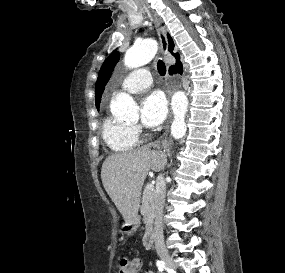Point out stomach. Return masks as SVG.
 I'll list each match as a JSON object with an SVG mask.
<instances>
[{"mask_svg":"<svg viewBox=\"0 0 285 273\" xmlns=\"http://www.w3.org/2000/svg\"><path fill=\"white\" fill-rule=\"evenodd\" d=\"M139 224V218H137L136 220H134L133 222L130 223H125L122 227L123 231L125 232H130L132 230H135L138 227Z\"/></svg>","mask_w":285,"mask_h":273,"instance_id":"0dacf381","label":"stomach"}]
</instances>
